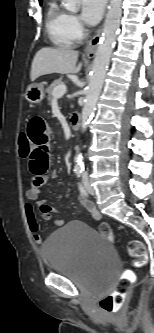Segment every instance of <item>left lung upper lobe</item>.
<instances>
[{
    "instance_id": "5c2ea615",
    "label": "left lung upper lobe",
    "mask_w": 154,
    "mask_h": 333,
    "mask_svg": "<svg viewBox=\"0 0 154 333\" xmlns=\"http://www.w3.org/2000/svg\"><path fill=\"white\" fill-rule=\"evenodd\" d=\"M39 2H40V5L42 4V0H39Z\"/></svg>"
}]
</instances>
